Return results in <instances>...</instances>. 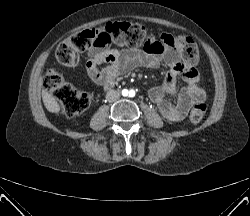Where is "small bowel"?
<instances>
[{"mask_svg":"<svg viewBox=\"0 0 250 216\" xmlns=\"http://www.w3.org/2000/svg\"><path fill=\"white\" fill-rule=\"evenodd\" d=\"M175 45V37L164 33L160 36L147 35L143 41V49L92 48L87 53L86 72L95 84L106 85L136 68L155 69L161 62H165L170 69L164 84L150 89L148 95L165 119L170 122H180L193 105L205 100L206 95L197 70L184 64ZM101 64L107 66L99 69ZM178 76H182L186 83L179 92L176 88ZM166 96L173 97L174 102L168 100Z\"/></svg>","mask_w":250,"mask_h":216,"instance_id":"small-bowel-1","label":"small bowel"}]
</instances>
